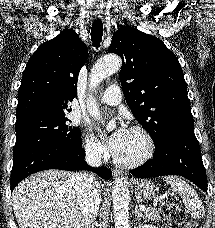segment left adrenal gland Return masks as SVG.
Here are the masks:
<instances>
[{"label":"left adrenal gland","mask_w":215,"mask_h":228,"mask_svg":"<svg viewBox=\"0 0 215 228\" xmlns=\"http://www.w3.org/2000/svg\"><path fill=\"white\" fill-rule=\"evenodd\" d=\"M135 216H136L137 220H145L141 210H138L137 204H135Z\"/></svg>","instance_id":"a2214340"}]
</instances>
